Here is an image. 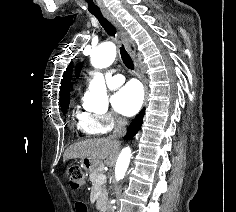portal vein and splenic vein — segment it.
<instances>
[{
  "label": "portal vein and splenic vein",
  "mask_w": 236,
  "mask_h": 212,
  "mask_svg": "<svg viewBox=\"0 0 236 212\" xmlns=\"http://www.w3.org/2000/svg\"><path fill=\"white\" fill-rule=\"evenodd\" d=\"M98 181H100V182H101V181H106V176H105V175H102V174L99 175V176H98Z\"/></svg>",
  "instance_id": "obj_1"
}]
</instances>
